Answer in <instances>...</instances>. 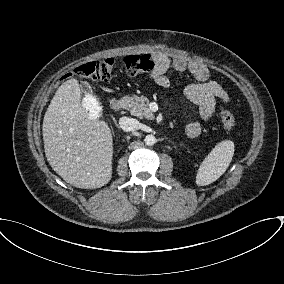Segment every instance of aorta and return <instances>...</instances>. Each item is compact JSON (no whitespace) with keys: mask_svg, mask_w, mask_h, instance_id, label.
Masks as SVG:
<instances>
[{"mask_svg":"<svg viewBox=\"0 0 284 284\" xmlns=\"http://www.w3.org/2000/svg\"><path fill=\"white\" fill-rule=\"evenodd\" d=\"M156 141H157L156 137L152 134L147 135L144 139L145 144L148 145V146L154 145L156 143Z\"/></svg>","mask_w":284,"mask_h":284,"instance_id":"obj_1","label":"aorta"}]
</instances>
